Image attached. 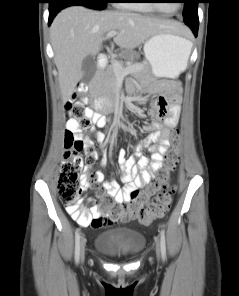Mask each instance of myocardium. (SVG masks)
Returning <instances> with one entry per match:
<instances>
[{
  "instance_id": "1",
  "label": "myocardium",
  "mask_w": 239,
  "mask_h": 296,
  "mask_svg": "<svg viewBox=\"0 0 239 296\" xmlns=\"http://www.w3.org/2000/svg\"><path fill=\"white\" fill-rule=\"evenodd\" d=\"M149 1V5L155 9L156 11H158L159 13H162V14H169V13H172V12H166L164 10H162V8L158 5V3H156V0H148ZM174 12V11H173Z\"/></svg>"
}]
</instances>
